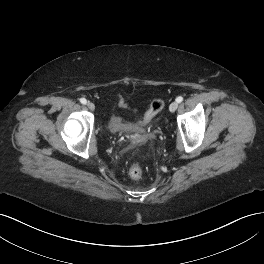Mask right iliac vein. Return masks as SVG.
I'll return each mask as SVG.
<instances>
[{
	"label": "right iliac vein",
	"instance_id": "obj_1",
	"mask_svg": "<svg viewBox=\"0 0 264 264\" xmlns=\"http://www.w3.org/2000/svg\"><path fill=\"white\" fill-rule=\"evenodd\" d=\"M87 107H88L89 110H91V111H94V110H95V105H94V103H92V102H88V103H87Z\"/></svg>",
	"mask_w": 264,
	"mask_h": 264
}]
</instances>
